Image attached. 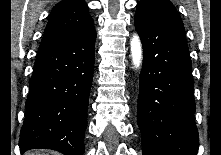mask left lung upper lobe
Wrapping results in <instances>:
<instances>
[{
  "mask_svg": "<svg viewBox=\"0 0 221 155\" xmlns=\"http://www.w3.org/2000/svg\"><path fill=\"white\" fill-rule=\"evenodd\" d=\"M137 6H143L154 14L183 24L176 8L169 0H141Z\"/></svg>",
  "mask_w": 221,
  "mask_h": 155,
  "instance_id": "left-lung-upper-lobe-1",
  "label": "left lung upper lobe"
}]
</instances>
